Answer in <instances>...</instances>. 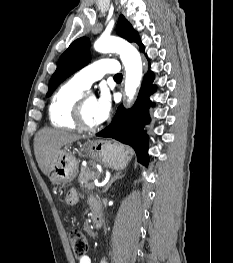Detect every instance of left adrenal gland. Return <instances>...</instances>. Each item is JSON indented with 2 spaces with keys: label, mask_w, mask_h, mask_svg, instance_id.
Segmentation results:
<instances>
[{
  "label": "left adrenal gland",
  "mask_w": 233,
  "mask_h": 263,
  "mask_svg": "<svg viewBox=\"0 0 233 263\" xmlns=\"http://www.w3.org/2000/svg\"><path fill=\"white\" fill-rule=\"evenodd\" d=\"M124 175H122V172L119 171V172H116L112 177L111 179L109 180V182L105 185L104 187V190H103V193L107 192L108 189L110 188V186L112 185L113 182H115L117 179H120L122 178Z\"/></svg>",
  "instance_id": "left-adrenal-gland-1"
}]
</instances>
